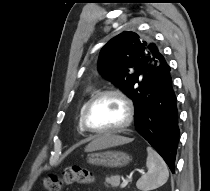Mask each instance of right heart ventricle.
I'll return each instance as SVG.
<instances>
[{
    "label": "right heart ventricle",
    "instance_id": "right-heart-ventricle-1",
    "mask_svg": "<svg viewBox=\"0 0 210 191\" xmlns=\"http://www.w3.org/2000/svg\"><path fill=\"white\" fill-rule=\"evenodd\" d=\"M95 94V91L93 89L89 90L88 92V96L86 98V100L84 101V103L82 104L81 108H80V111H79V118H78V129L80 132H84L85 130L83 129L82 127V124H81V114H82V111L86 105V103L89 101V99Z\"/></svg>",
    "mask_w": 210,
    "mask_h": 191
}]
</instances>
